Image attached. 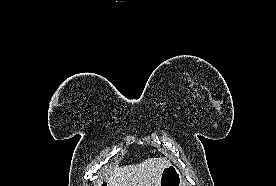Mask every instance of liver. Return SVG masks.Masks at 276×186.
<instances>
[{"label": "liver", "mask_w": 276, "mask_h": 186, "mask_svg": "<svg viewBox=\"0 0 276 186\" xmlns=\"http://www.w3.org/2000/svg\"><path fill=\"white\" fill-rule=\"evenodd\" d=\"M170 164L166 158H148L136 165L110 167L104 176L109 186H159L161 173Z\"/></svg>", "instance_id": "liver-1"}]
</instances>
